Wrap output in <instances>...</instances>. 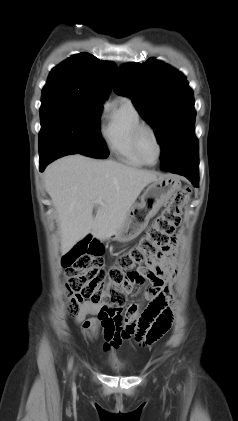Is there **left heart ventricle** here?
Here are the masks:
<instances>
[{"mask_svg": "<svg viewBox=\"0 0 238 421\" xmlns=\"http://www.w3.org/2000/svg\"><path fill=\"white\" fill-rule=\"evenodd\" d=\"M142 151L149 162H154L157 156L156 143L149 132H145L141 138Z\"/></svg>", "mask_w": 238, "mask_h": 421, "instance_id": "b2bd125f", "label": "left heart ventricle"}]
</instances>
